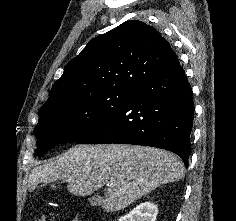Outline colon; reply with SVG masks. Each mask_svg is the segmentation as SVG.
Here are the masks:
<instances>
[{"mask_svg":"<svg viewBox=\"0 0 236 221\" xmlns=\"http://www.w3.org/2000/svg\"><path fill=\"white\" fill-rule=\"evenodd\" d=\"M34 221H55L52 213H46L42 217L35 219ZM67 221H81L78 217H71Z\"/></svg>","mask_w":236,"mask_h":221,"instance_id":"obj_1","label":"colon"}]
</instances>
